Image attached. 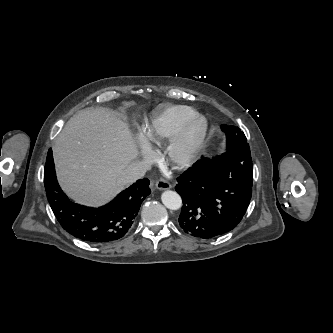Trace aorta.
Instances as JSON below:
<instances>
[{
    "mask_svg": "<svg viewBox=\"0 0 333 333\" xmlns=\"http://www.w3.org/2000/svg\"><path fill=\"white\" fill-rule=\"evenodd\" d=\"M162 203L171 210H178L182 206V200L178 193L167 190L162 193Z\"/></svg>",
    "mask_w": 333,
    "mask_h": 333,
    "instance_id": "aorta-1",
    "label": "aorta"
}]
</instances>
